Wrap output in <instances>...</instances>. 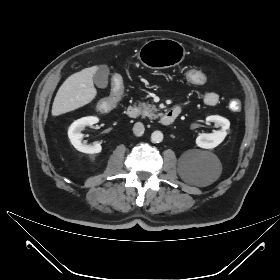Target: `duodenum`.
<instances>
[{
    "label": "duodenum",
    "instance_id": "410a0bca",
    "mask_svg": "<svg viewBox=\"0 0 280 280\" xmlns=\"http://www.w3.org/2000/svg\"><path fill=\"white\" fill-rule=\"evenodd\" d=\"M138 108L135 105H129L126 109V114L129 118H136L138 116ZM181 110L178 107H172L168 109L161 118L162 125H170L174 122Z\"/></svg>",
    "mask_w": 280,
    "mask_h": 280
}]
</instances>
